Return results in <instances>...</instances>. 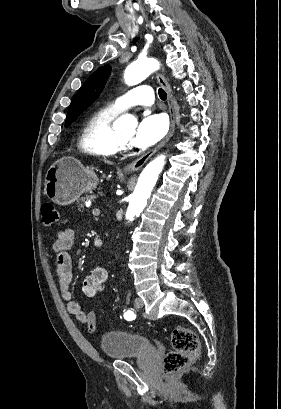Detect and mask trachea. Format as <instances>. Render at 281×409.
<instances>
[{
    "mask_svg": "<svg viewBox=\"0 0 281 409\" xmlns=\"http://www.w3.org/2000/svg\"><path fill=\"white\" fill-rule=\"evenodd\" d=\"M158 94H159V97H160L161 100H166L167 94L162 88H160L158 90Z\"/></svg>",
    "mask_w": 281,
    "mask_h": 409,
    "instance_id": "3493384b",
    "label": "trachea"
}]
</instances>
